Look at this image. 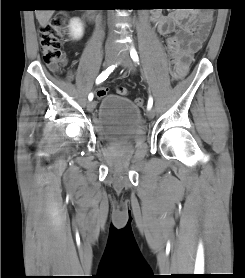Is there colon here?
I'll return each instance as SVG.
<instances>
[{
	"mask_svg": "<svg viewBox=\"0 0 245 278\" xmlns=\"http://www.w3.org/2000/svg\"><path fill=\"white\" fill-rule=\"evenodd\" d=\"M197 7L206 12L214 8L210 3V0H202ZM204 28L208 29V25H204ZM66 31V20L63 15H55L49 23L41 27L39 30V43L41 46L43 61L45 65L55 73H58L61 70L62 65L66 60L65 55L61 50V36ZM171 76L174 80H179L182 76L174 65H171ZM106 93H108V90L105 88L98 91V94L101 95H105ZM116 93L119 96H126L128 90L125 87H117ZM134 102L137 107H142L144 105V99L142 97H136Z\"/></svg>",
	"mask_w": 245,
	"mask_h": 278,
	"instance_id": "colon-1",
	"label": "colon"
}]
</instances>
